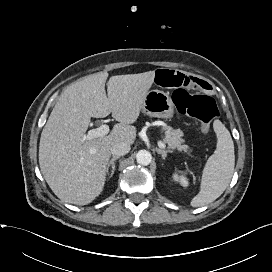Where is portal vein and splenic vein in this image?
<instances>
[{"instance_id": "1", "label": "portal vein and splenic vein", "mask_w": 272, "mask_h": 272, "mask_svg": "<svg viewBox=\"0 0 272 272\" xmlns=\"http://www.w3.org/2000/svg\"><path fill=\"white\" fill-rule=\"evenodd\" d=\"M109 126L107 124H102L100 127L95 128V129H91L87 132V134L85 135V139L86 140H91L94 138H98V137H103L105 135H107L109 133ZM158 146L160 148H165L166 145L164 142L162 141H158Z\"/></svg>"}]
</instances>
